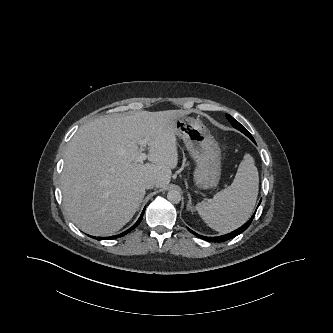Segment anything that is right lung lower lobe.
<instances>
[{
	"label": "right lung lower lobe",
	"mask_w": 333,
	"mask_h": 333,
	"mask_svg": "<svg viewBox=\"0 0 333 333\" xmlns=\"http://www.w3.org/2000/svg\"><path fill=\"white\" fill-rule=\"evenodd\" d=\"M144 211H145V208H144L142 214L140 215L138 221H137V222H136L131 228H129L128 230H126L125 232H123V233H121V234H119V235L111 236V237H108V238H110V239H114V238L122 237V236L126 235L127 233H129L130 231H132V230H133L135 227H137V226L139 225V223L141 222V220H142V218H143ZM90 237H93V236H90ZM93 238H95V237H93ZM97 239L100 240L101 238L98 237Z\"/></svg>",
	"instance_id": "98d812e1"
}]
</instances>
